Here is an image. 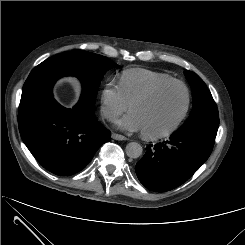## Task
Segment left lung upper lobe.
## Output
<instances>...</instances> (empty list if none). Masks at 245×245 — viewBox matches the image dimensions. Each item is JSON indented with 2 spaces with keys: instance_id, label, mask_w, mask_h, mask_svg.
Here are the masks:
<instances>
[{
  "instance_id": "obj_1",
  "label": "left lung upper lobe",
  "mask_w": 245,
  "mask_h": 245,
  "mask_svg": "<svg viewBox=\"0 0 245 245\" xmlns=\"http://www.w3.org/2000/svg\"><path fill=\"white\" fill-rule=\"evenodd\" d=\"M193 92V109L186 122L175 131H198L216 137L219 115L216 103L203 80L194 72L185 70Z\"/></svg>"
}]
</instances>
